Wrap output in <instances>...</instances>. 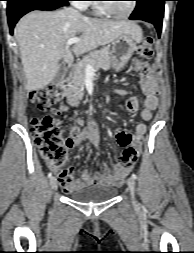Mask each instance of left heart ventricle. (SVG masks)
I'll list each match as a JSON object with an SVG mask.
<instances>
[{
    "label": "left heart ventricle",
    "mask_w": 194,
    "mask_h": 253,
    "mask_svg": "<svg viewBox=\"0 0 194 253\" xmlns=\"http://www.w3.org/2000/svg\"><path fill=\"white\" fill-rule=\"evenodd\" d=\"M106 4L112 11L118 14L126 13L131 7V1H112Z\"/></svg>",
    "instance_id": "1"
}]
</instances>
